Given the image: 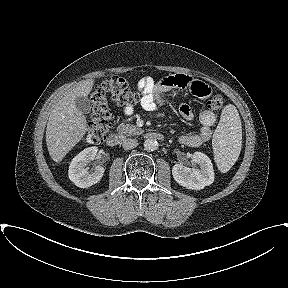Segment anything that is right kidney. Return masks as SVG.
<instances>
[{"label":"right kidney","mask_w":288,"mask_h":288,"mask_svg":"<svg viewBox=\"0 0 288 288\" xmlns=\"http://www.w3.org/2000/svg\"><path fill=\"white\" fill-rule=\"evenodd\" d=\"M98 148L88 147L81 151L73 158L70 163L68 175L69 179L80 188H88L98 183L104 174V168L97 166L94 172H89L86 168L90 160H94L97 156Z\"/></svg>","instance_id":"1"}]
</instances>
